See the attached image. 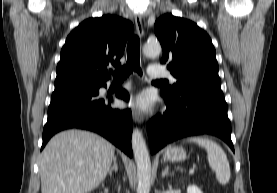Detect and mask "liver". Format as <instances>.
<instances>
[{
    "label": "liver",
    "mask_w": 277,
    "mask_h": 193,
    "mask_svg": "<svg viewBox=\"0 0 277 193\" xmlns=\"http://www.w3.org/2000/svg\"><path fill=\"white\" fill-rule=\"evenodd\" d=\"M114 158L115 147L98 134L60 132L41 154V192L88 193L106 178Z\"/></svg>",
    "instance_id": "1"
}]
</instances>
